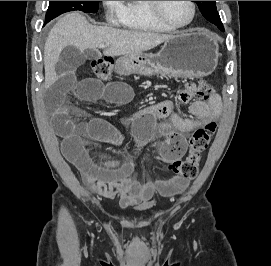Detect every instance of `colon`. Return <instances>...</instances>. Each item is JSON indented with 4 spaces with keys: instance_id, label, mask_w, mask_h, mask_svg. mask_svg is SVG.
I'll return each mask as SVG.
<instances>
[{
    "instance_id": "5ec220e1",
    "label": "colon",
    "mask_w": 271,
    "mask_h": 266,
    "mask_svg": "<svg viewBox=\"0 0 271 266\" xmlns=\"http://www.w3.org/2000/svg\"><path fill=\"white\" fill-rule=\"evenodd\" d=\"M112 65L111 59L99 58L92 61L91 69L98 79L106 80L111 76ZM214 92V87L210 82L200 80L197 83H187L178 97L208 101L214 96ZM215 131V123H209L196 129L189 140L188 155L183 160L170 163L168 166L169 171L181 179H193L198 173L201 155L209 146Z\"/></svg>"
}]
</instances>
